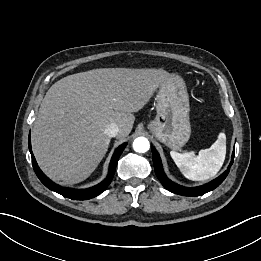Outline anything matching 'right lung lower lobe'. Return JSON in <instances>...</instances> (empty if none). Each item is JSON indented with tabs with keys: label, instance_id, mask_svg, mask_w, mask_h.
<instances>
[{
	"label": "right lung lower lobe",
	"instance_id": "right-lung-lower-lobe-1",
	"mask_svg": "<svg viewBox=\"0 0 261 261\" xmlns=\"http://www.w3.org/2000/svg\"><path fill=\"white\" fill-rule=\"evenodd\" d=\"M127 143H124L120 145L115 153L112 156L110 165H109V173L105 180H103L101 183H99L96 186H93L91 188L87 189H70V188H64L60 187L56 184H54L49 178L45 176V174L40 170V168L37 165V162L35 160V157L31 151V141H30V135H29V150L31 152L32 157V165L34 168V171L39 178V180L50 190L73 200H87L91 199L99 194H101L110 184L112 181V178L115 173L116 165L118 162V159L123 152L124 148L126 147Z\"/></svg>",
	"mask_w": 261,
	"mask_h": 261
}]
</instances>
